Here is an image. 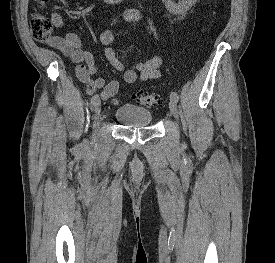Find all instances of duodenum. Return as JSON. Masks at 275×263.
Instances as JSON below:
<instances>
[{
  "label": "duodenum",
  "mask_w": 275,
  "mask_h": 263,
  "mask_svg": "<svg viewBox=\"0 0 275 263\" xmlns=\"http://www.w3.org/2000/svg\"><path fill=\"white\" fill-rule=\"evenodd\" d=\"M106 4H110V5H112V4H116V3H118V2H120L121 0H103Z\"/></svg>",
  "instance_id": "obj_1"
}]
</instances>
